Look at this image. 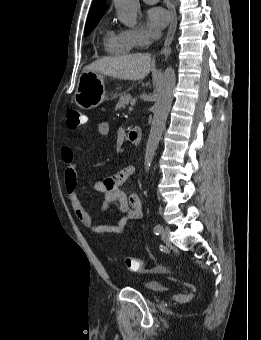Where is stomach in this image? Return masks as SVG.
<instances>
[{"label": "stomach", "mask_w": 261, "mask_h": 340, "mask_svg": "<svg viewBox=\"0 0 261 340\" xmlns=\"http://www.w3.org/2000/svg\"><path fill=\"white\" fill-rule=\"evenodd\" d=\"M114 95L113 97H115ZM108 99L105 88L104 77L101 73L83 71L79 76L76 92L74 94L75 103L82 109L89 110L99 106Z\"/></svg>", "instance_id": "obj_1"}]
</instances>
